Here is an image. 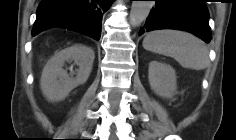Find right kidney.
Instances as JSON below:
<instances>
[{"label":"right kidney","mask_w":236,"mask_h":140,"mask_svg":"<svg viewBox=\"0 0 236 140\" xmlns=\"http://www.w3.org/2000/svg\"><path fill=\"white\" fill-rule=\"evenodd\" d=\"M74 61L78 65L76 77H72L63 69L65 62ZM94 61L92 49L76 44L55 55L43 69L40 87L48 101H61L77 86L84 84L91 73ZM74 72L71 71V74Z\"/></svg>","instance_id":"ca27d5eb"}]
</instances>
